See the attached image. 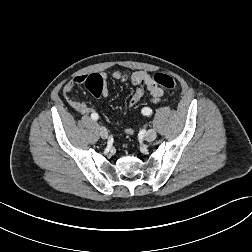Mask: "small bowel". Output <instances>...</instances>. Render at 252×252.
I'll use <instances>...</instances> for the list:
<instances>
[{"label": "small bowel", "instance_id": "small-bowel-1", "mask_svg": "<svg viewBox=\"0 0 252 252\" xmlns=\"http://www.w3.org/2000/svg\"><path fill=\"white\" fill-rule=\"evenodd\" d=\"M103 77L105 78V75H103ZM112 77L113 79L120 82L130 81L135 86H139L140 84L144 83L149 90L152 103H155V104L159 103L163 97V94H164L163 89L154 82L153 77L148 72L135 71L132 74L127 75V74L122 73L121 71H114L112 73ZM86 78H87V75L76 76L73 79L69 80L62 88V94L67 104L71 108H73L76 112L84 116L95 113L94 109L89 107L84 102L70 98L69 94L73 91L76 85L83 84ZM106 95H107V91H105L103 96H106ZM125 132L128 134H131L133 133V130L131 128H127Z\"/></svg>", "mask_w": 252, "mask_h": 252}]
</instances>
